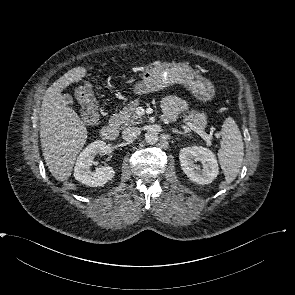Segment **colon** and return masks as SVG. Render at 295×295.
Returning a JSON list of instances; mask_svg holds the SVG:
<instances>
[{
    "mask_svg": "<svg viewBox=\"0 0 295 295\" xmlns=\"http://www.w3.org/2000/svg\"><path fill=\"white\" fill-rule=\"evenodd\" d=\"M87 103L83 109V120L88 125H93L97 122L98 112L95 99L91 91L87 93Z\"/></svg>",
    "mask_w": 295,
    "mask_h": 295,
    "instance_id": "1",
    "label": "colon"
}]
</instances>
